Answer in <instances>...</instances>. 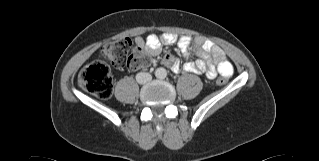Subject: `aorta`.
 I'll return each instance as SVG.
<instances>
[{"label":"aorta","mask_w":319,"mask_h":161,"mask_svg":"<svg viewBox=\"0 0 319 161\" xmlns=\"http://www.w3.org/2000/svg\"><path fill=\"white\" fill-rule=\"evenodd\" d=\"M166 75H167V71H166V69H164L162 67L157 68L156 71H155V76L157 78L163 79V78L166 77Z\"/></svg>","instance_id":"1"}]
</instances>
